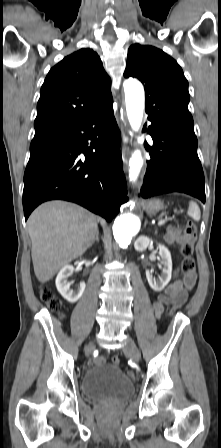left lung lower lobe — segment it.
Wrapping results in <instances>:
<instances>
[{
	"instance_id": "0a47b994",
	"label": "left lung lower lobe",
	"mask_w": 221,
	"mask_h": 448,
	"mask_svg": "<svg viewBox=\"0 0 221 448\" xmlns=\"http://www.w3.org/2000/svg\"><path fill=\"white\" fill-rule=\"evenodd\" d=\"M151 121V160L141 188V197L184 192L205 202L204 174L197 155V138Z\"/></svg>"
}]
</instances>
